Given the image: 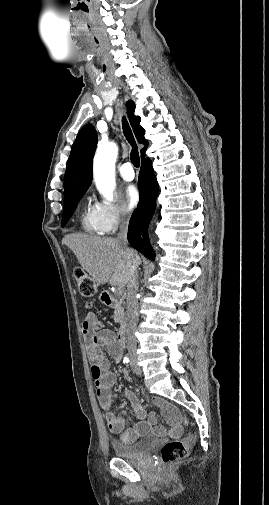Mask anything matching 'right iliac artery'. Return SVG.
<instances>
[{"label":"right iliac artery","mask_w":269,"mask_h":505,"mask_svg":"<svg viewBox=\"0 0 269 505\" xmlns=\"http://www.w3.org/2000/svg\"><path fill=\"white\" fill-rule=\"evenodd\" d=\"M129 361H130L129 357L125 356L123 359V362L127 364V363H129Z\"/></svg>","instance_id":"obj_1"}]
</instances>
